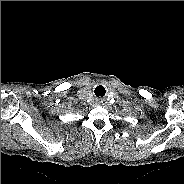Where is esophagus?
Instances as JSON below:
<instances>
[{"instance_id":"obj_1","label":"esophagus","mask_w":184,"mask_h":184,"mask_svg":"<svg viewBox=\"0 0 184 184\" xmlns=\"http://www.w3.org/2000/svg\"><path fill=\"white\" fill-rule=\"evenodd\" d=\"M97 102L100 103V102H102V100L98 99Z\"/></svg>"}]
</instances>
